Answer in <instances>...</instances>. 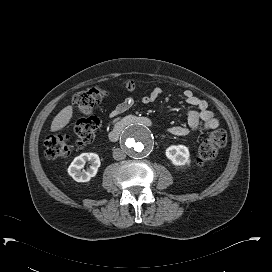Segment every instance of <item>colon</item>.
<instances>
[{"instance_id":"obj_1","label":"colon","mask_w":272,"mask_h":272,"mask_svg":"<svg viewBox=\"0 0 272 272\" xmlns=\"http://www.w3.org/2000/svg\"><path fill=\"white\" fill-rule=\"evenodd\" d=\"M122 88L127 92H133L137 84L126 81ZM106 92L101 87H90L74 96V106L79 114L73 128V135L53 134L46 138V154L49 158H60L69 156L74 148H83L93 141L99 126V120L95 110L102 103ZM227 143V134L219 129L212 132L206 138L200 148L198 165L204 166L210 162L216 154L222 150Z\"/></svg>"}]
</instances>
